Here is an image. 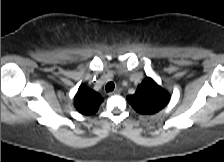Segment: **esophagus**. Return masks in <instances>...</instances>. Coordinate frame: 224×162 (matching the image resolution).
Here are the masks:
<instances>
[{
  "instance_id": "34e87169",
  "label": "esophagus",
  "mask_w": 224,
  "mask_h": 162,
  "mask_svg": "<svg viewBox=\"0 0 224 162\" xmlns=\"http://www.w3.org/2000/svg\"><path fill=\"white\" fill-rule=\"evenodd\" d=\"M120 93H121V90L117 88V89H115L114 91L109 92L108 95L111 96V95H116V94H120Z\"/></svg>"
}]
</instances>
